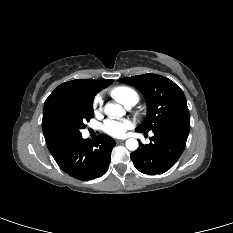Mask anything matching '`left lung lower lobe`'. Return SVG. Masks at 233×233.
I'll use <instances>...</instances> for the list:
<instances>
[{
	"label": "left lung lower lobe",
	"mask_w": 233,
	"mask_h": 233,
	"mask_svg": "<svg viewBox=\"0 0 233 233\" xmlns=\"http://www.w3.org/2000/svg\"><path fill=\"white\" fill-rule=\"evenodd\" d=\"M189 130L190 120L166 124L154 130V136L150 137V144L140 145L138 150L131 153L136 169L148 175L168 171L181 156Z\"/></svg>",
	"instance_id": "obj_1"
}]
</instances>
